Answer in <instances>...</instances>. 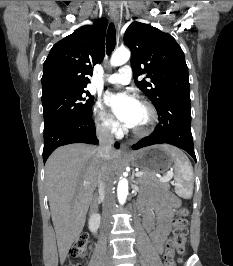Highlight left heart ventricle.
<instances>
[{
	"instance_id": "left-heart-ventricle-1",
	"label": "left heart ventricle",
	"mask_w": 233,
	"mask_h": 266,
	"mask_svg": "<svg viewBox=\"0 0 233 266\" xmlns=\"http://www.w3.org/2000/svg\"><path fill=\"white\" fill-rule=\"evenodd\" d=\"M149 121V114L145 107L141 104L139 106L137 121L134 128H142L144 127Z\"/></svg>"
}]
</instances>
